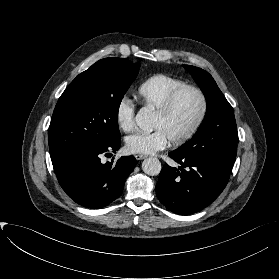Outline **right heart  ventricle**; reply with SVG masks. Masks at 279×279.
Returning a JSON list of instances; mask_svg holds the SVG:
<instances>
[{"mask_svg": "<svg viewBox=\"0 0 279 279\" xmlns=\"http://www.w3.org/2000/svg\"><path fill=\"white\" fill-rule=\"evenodd\" d=\"M186 82L170 75L156 74L144 80L138 87V96L145 107L159 109L167 96Z\"/></svg>", "mask_w": 279, "mask_h": 279, "instance_id": "1", "label": "right heart ventricle"}]
</instances>
